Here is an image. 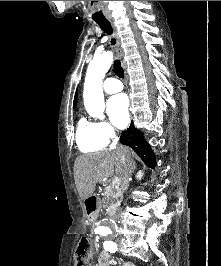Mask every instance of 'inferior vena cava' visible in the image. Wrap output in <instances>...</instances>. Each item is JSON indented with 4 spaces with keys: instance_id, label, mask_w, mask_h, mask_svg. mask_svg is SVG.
<instances>
[{
    "instance_id": "1",
    "label": "inferior vena cava",
    "mask_w": 221,
    "mask_h": 266,
    "mask_svg": "<svg viewBox=\"0 0 221 266\" xmlns=\"http://www.w3.org/2000/svg\"><path fill=\"white\" fill-rule=\"evenodd\" d=\"M118 141V137H116L113 141L112 146L116 147ZM123 147V146H120ZM119 148V147H118ZM120 154V159L124 165V173H123V185L125 186L128 183V179L131 176L133 167H134V162L133 159L125 152V151H119ZM113 214H117V212H114Z\"/></svg>"
}]
</instances>
